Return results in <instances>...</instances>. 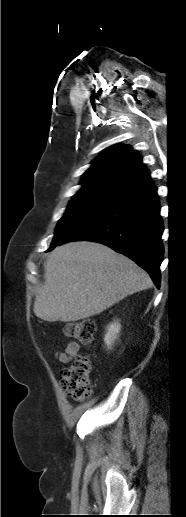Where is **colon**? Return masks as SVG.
<instances>
[{"mask_svg":"<svg viewBox=\"0 0 186 517\" xmlns=\"http://www.w3.org/2000/svg\"><path fill=\"white\" fill-rule=\"evenodd\" d=\"M96 322L90 319L65 324L64 333L84 345L95 339ZM91 360L86 355H76L60 372V383L66 394L75 401H83L91 394Z\"/></svg>","mask_w":186,"mask_h":517,"instance_id":"5ec220e1","label":"colon"}]
</instances>
